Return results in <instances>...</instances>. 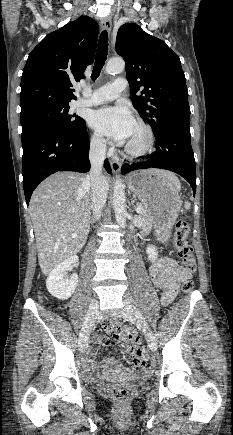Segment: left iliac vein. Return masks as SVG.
I'll use <instances>...</instances> for the list:
<instances>
[{"mask_svg": "<svg viewBox=\"0 0 233 435\" xmlns=\"http://www.w3.org/2000/svg\"><path fill=\"white\" fill-rule=\"evenodd\" d=\"M122 316L125 320L139 325L146 336L150 349L152 351L156 350L157 343L155 335L151 331L146 318L139 311V309L130 302H125V307L122 310Z\"/></svg>", "mask_w": 233, "mask_h": 435, "instance_id": "left-iliac-vein-1", "label": "left iliac vein"}]
</instances>
